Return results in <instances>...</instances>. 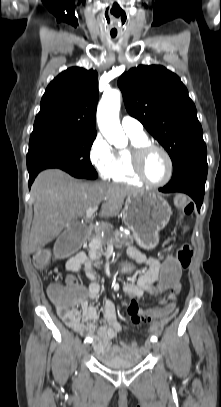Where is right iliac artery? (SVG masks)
I'll return each instance as SVG.
<instances>
[{
  "mask_svg": "<svg viewBox=\"0 0 221 407\" xmlns=\"http://www.w3.org/2000/svg\"><path fill=\"white\" fill-rule=\"evenodd\" d=\"M84 342L86 343H91L92 342V339L91 338H89V337H87L85 340H84Z\"/></svg>",
  "mask_w": 221,
  "mask_h": 407,
  "instance_id": "82829eb1",
  "label": "right iliac artery"
}]
</instances>
